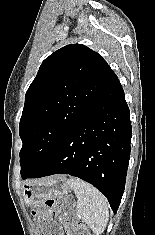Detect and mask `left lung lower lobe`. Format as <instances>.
<instances>
[{"mask_svg":"<svg viewBox=\"0 0 155 235\" xmlns=\"http://www.w3.org/2000/svg\"><path fill=\"white\" fill-rule=\"evenodd\" d=\"M131 136L129 108L115 75L47 163L26 178L78 177L101 191L116 213L125 188Z\"/></svg>","mask_w":155,"mask_h":235,"instance_id":"left-lung-lower-lobe-1","label":"left lung lower lobe"}]
</instances>
